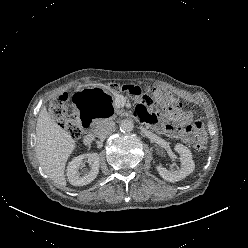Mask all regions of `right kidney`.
<instances>
[{"instance_id":"obj_1","label":"right kidney","mask_w":248,"mask_h":248,"mask_svg":"<svg viewBox=\"0 0 248 248\" xmlns=\"http://www.w3.org/2000/svg\"><path fill=\"white\" fill-rule=\"evenodd\" d=\"M84 159L89 163L90 170L79 172ZM99 173V155L97 153H87L73 158L67 166V177L70 184L83 186L91 183Z\"/></svg>"}]
</instances>
